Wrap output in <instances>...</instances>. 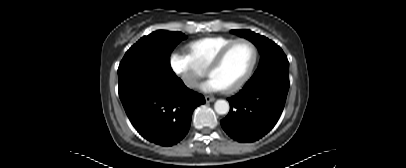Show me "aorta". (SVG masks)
Wrapping results in <instances>:
<instances>
[{
  "instance_id": "762f6f07",
  "label": "aorta",
  "mask_w": 406,
  "mask_h": 168,
  "mask_svg": "<svg viewBox=\"0 0 406 168\" xmlns=\"http://www.w3.org/2000/svg\"><path fill=\"white\" fill-rule=\"evenodd\" d=\"M214 109L218 114L224 115L229 112L230 106L226 100L220 99L215 102Z\"/></svg>"
}]
</instances>
